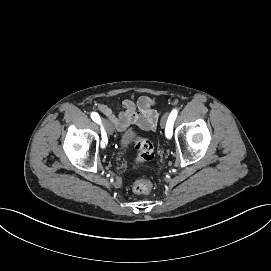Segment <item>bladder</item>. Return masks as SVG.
<instances>
[{
	"label": "bladder",
	"instance_id": "bladder-1",
	"mask_svg": "<svg viewBox=\"0 0 271 271\" xmlns=\"http://www.w3.org/2000/svg\"><path fill=\"white\" fill-rule=\"evenodd\" d=\"M134 140H135V137L133 136L131 132L126 131L124 133V139L120 142V145L122 146V148L120 149V153L123 156H125L128 153L130 146Z\"/></svg>",
	"mask_w": 271,
	"mask_h": 271
}]
</instances>
